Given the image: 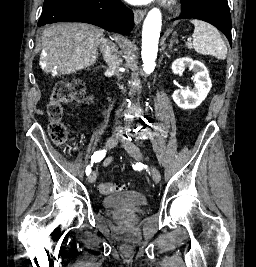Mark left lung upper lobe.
Masks as SVG:
<instances>
[{"label":"left lung upper lobe","mask_w":256,"mask_h":267,"mask_svg":"<svg viewBox=\"0 0 256 267\" xmlns=\"http://www.w3.org/2000/svg\"><path fill=\"white\" fill-rule=\"evenodd\" d=\"M181 18H195L206 21L228 38L232 45L231 16L227 0H182Z\"/></svg>","instance_id":"left-lung-upper-lobe-1"}]
</instances>
